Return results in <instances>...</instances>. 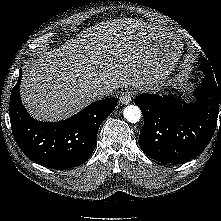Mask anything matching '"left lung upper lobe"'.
Masks as SVG:
<instances>
[{"mask_svg": "<svg viewBox=\"0 0 221 221\" xmlns=\"http://www.w3.org/2000/svg\"><path fill=\"white\" fill-rule=\"evenodd\" d=\"M200 60H201L200 66H201V69L204 72V74L207 76L213 75L212 69H211L208 61L205 58H200Z\"/></svg>", "mask_w": 221, "mask_h": 221, "instance_id": "1", "label": "left lung upper lobe"}]
</instances>
